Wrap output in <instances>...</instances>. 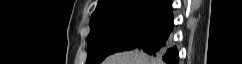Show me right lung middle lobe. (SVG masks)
<instances>
[{
    "instance_id": "right-lung-middle-lobe-1",
    "label": "right lung middle lobe",
    "mask_w": 242,
    "mask_h": 64,
    "mask_svg": "<svg viewBox=\"0 0 242 64\" xmlns=\"http://www.w3.org/2000/svg\"><path fill=\"white\" fill-rule=\"evenodd\" d=\"M165 19L147 10L119 12L90 22L86 64H99L108 55L136 48Z\"/></svg>"
}]
</instances>
